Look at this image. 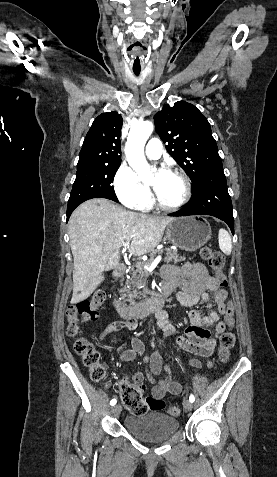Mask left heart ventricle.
<instances>
[{
    "instance_id": "1",
    "label": "left heart ventricle",
    "mask_w": 277,
    "mask_h": 477,
    "mask_svg": "<svg viewBox=\"0 0 277 477\" xmlns=\"http://www.w3.org/2000/svg\"><path fill=\"white\" fill-rule=\"evenodd\" d=\"M150 185L154 188L162 202L167 205L178 203L184 194L182 180L172 173H168L163 177L156 173L151 179Z\"/></svg>"
}]
</instances>
